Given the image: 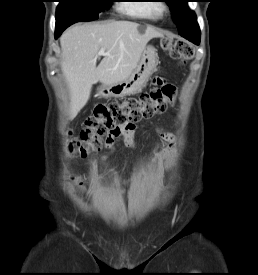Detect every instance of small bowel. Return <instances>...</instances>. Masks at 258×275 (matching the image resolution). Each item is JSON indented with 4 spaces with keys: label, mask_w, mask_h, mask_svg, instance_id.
Listing matches in <instances>:
<instances>
[{
    "label": "small bowel",
    "mask_w": 258,
    "mask_h": 275,
    "mask_svg": "<svg viewBox=\"0 0 258 275\" xmlns=\"http://www.w3.org/2000/svg\"><path fill=\"white\" fill-rule=\"evenodd\" d=\"M120 134H122L125 137V144L128 147L134 148L136 146V140L134 138V129L133 130H129V131H122ZM162 136L170 144V147L174 146V144H175V137L172 134L166 133V132H162ZM105 146H106V148L108 150L114 151L115 148H114L113 138H111L110 140H108L105 143ZM110 174L115 179V181L117 182L119 190L122 189L123 185H125L126 183H128L130 181V180H125V179L117 176L112 171H110Z\"/></svg>",
    "instance_id": "small-bowel-1"
}]
</instances>
